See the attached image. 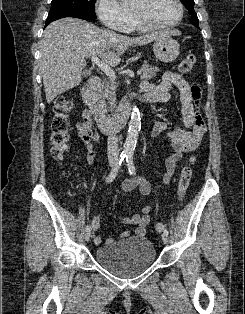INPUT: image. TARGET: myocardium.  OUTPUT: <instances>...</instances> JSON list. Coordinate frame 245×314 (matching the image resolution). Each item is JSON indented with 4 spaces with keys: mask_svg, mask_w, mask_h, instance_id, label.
I'll list each match as a JSON object with an SVG mask.
<instances>
[{
    "mask_svg": "<svg viewBox=\"0 0 245 314\" xmlns=\"http://www.w3.org/2000/svg\"><path fill=\"white\" fill-rule=\"evenodd\" d=\"M175 3L177 4V7L179 9V16L178 18L170 23H155L152 21H149L148 19L142 17L136 10L131 8L132 13V19L134 23L142 28L145 29H164V28H171L176 25H178L184 17V7L181 2V0H175Z\"/></svg>",
    "mask_w": 245,
    "mask_h": 314,
    "instance_id": "f54148a6",
    "label": "myocardium"
}]
</instances>
